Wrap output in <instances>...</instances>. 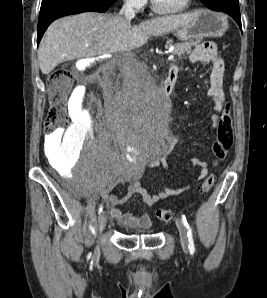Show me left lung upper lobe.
<instances>
[{
    "label": "left lung upper lobe",
    "instance_id": "1",
    "mask_svg": "<svg viewBox=\"0 0 267 298\" xmlns=\"http://www.w3.org/2000/svg\"><path fill=\"white\" fill-rule=\"evenodd\" d=\"M202 3L212 10H216L219 5H229L231 3L238 5V0H201Z\"/></svg>",
    "mask_w": 267,
    "mask_h": 298
}]
</instances>
